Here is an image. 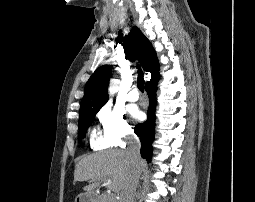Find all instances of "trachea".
Masks as SVG:
<instances>
[{
    "label": "trachea",
    "mask_w": 255,
    "mask_h": 202,
    "mask_svg": "<svg viewBox=\"0 0 255 202\" xmlns=\"http://www.w3.org/2000/svg\"><path fill=\"white\" fill-rule=\"evenodd\" d=\"M138 89L143 92L144 91V79H143V72L142 70H138V82H137Z\"/></svg>",
    "instance_id": "3493384b"
}]
</instances>
